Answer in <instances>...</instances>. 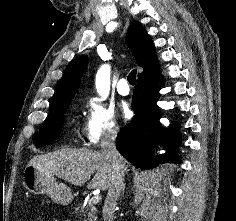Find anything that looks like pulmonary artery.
<instances>
[{"instance_id":"obj_1","label":"pulmonary artery","mask_w":236,"mask_h":221,"mask_svg":"<svg viewBox=\"0 0 236 221\" xmlns=\"http://www.w3.org/2000/svg\"><path fill=\"white\" fill-rule=\"evenodd\" d=\"M127 83V78H121L117 83V92L122 96H126L130 93V88Z\"/></svg>"}]
</instances>
